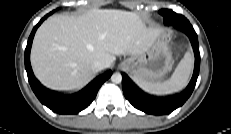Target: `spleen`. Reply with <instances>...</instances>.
Instances as JSON below:
<instances>
[{"mask_svg": "<svg viewBox=\"0 0 231 134\" xmlns=\"http://www.w3.org/2000/svg\"><path fill=\"white\" fill-rule=\"evenodd\" d=\"M194 56L191 51L185 53L170 79L164 82L136 81L144 91L155 95L179 92L186 87L193 69Z\"/></svg>", "mask_w": 231, "mask_h": 134, "instance_id": "spleen-1", "label": "spleen"}]
</instances>
